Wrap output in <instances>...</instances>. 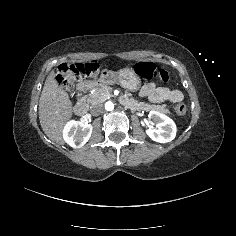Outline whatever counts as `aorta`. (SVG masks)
<instances>
[{
    "instance_id": "762f6f07",
    "label": "aorta",
    "mask_w": 236,
    "mask_h": 236,
    "mask_svg": "<svg viewBox=\"0 0 236 236\" xmlns=\"http://www.w3.org/2000/svg\"><path fill=\"white\" fill-rule=\"evenodd\" d=\"M105 109H106L107 111H113V110H114V103H112V102H106V103H105Z\"/></svg>"
}]
</instances>
